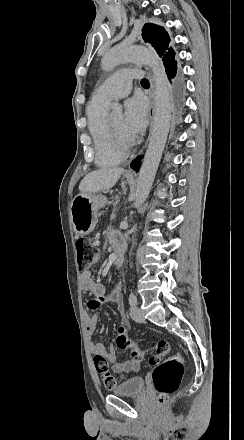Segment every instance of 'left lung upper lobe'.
Segmentation results:
<instances>
[{
	"instance_id": "1",
	"label": "left lung upper lobe",
	"mask_w": 244,
	"mask_h": 440,
	"mask_svg": "<svg viewBox=\"0 0 244 440\" xmlns=\"http://www.w3.org/2000/svg\"><path fill=\"white\" fill-rule=\"evenodd\" d=\"M142 37L145 42H149L162 57L164 66L175 60V52L168 48L170 38L167 32L158 25L146 23L142 29Z\"/></svg>"
}]
</instances>
